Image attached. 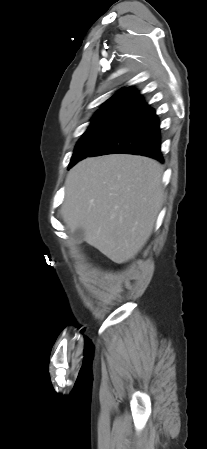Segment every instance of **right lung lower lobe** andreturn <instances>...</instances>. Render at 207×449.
<instances>
[{
	"label": "right lung lower lobe",
	"instance_id": "1",
	"mask_svg": "<svg viewBox=\"0 0 207 449\" xmlns=\"http://www.w3.org/2000/svg\"><path fill=\"white\" fill-rule=\"evenodd\" d=\"M128 153L163 161L160 150L159 121L155 111L147 107L124 127L107 139L90 156Z\"/></svg>",
	"mask_w": 207,
	"mask_h": 449
}]
</instances>
